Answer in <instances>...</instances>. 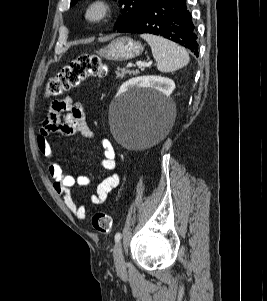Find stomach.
I'll return each instance as SVG.
<instances>
[{
	"label": "stomach",
	"instance_id": "0dacf381",
	"mask_svg": "<svg viewBox=\"0 0 267 301\" xmlns=\"http://www.w3.org/2000/svg\"><path fill=\"white\" fill-rule=\"evenodd\" d=\"M143 51L140 42L129 37H119L97 51L98 55L112 61H126L139 56Z\"/></svg>",
	"mask_w": 267,
	"mask_h": 301
}]
</instances>
